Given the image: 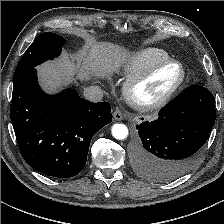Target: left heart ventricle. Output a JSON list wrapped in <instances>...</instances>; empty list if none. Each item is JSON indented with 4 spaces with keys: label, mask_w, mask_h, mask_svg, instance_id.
<instances>
[{
    "label": "left heart ventricle",
    "mask_w": 224,
    "mask_h": 224,
    "mask_svg": "<svg viewBox=\"0 0 224 224\" xmlns=\"http://www.w3.org/2000/svg\"><path fill=\"white\" fill-rule=\"evenodd\" d=\"M180 71L175 66L165 67L156 72L136 90V95L143 102H151L161 97L178 79Z\"/></svg>",
    "instance_id": "1"
}]
</instances>
